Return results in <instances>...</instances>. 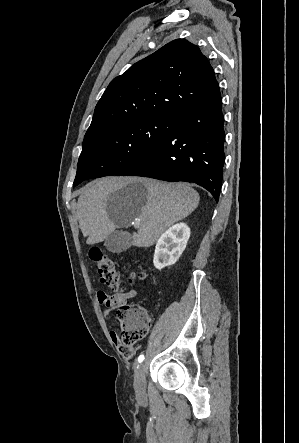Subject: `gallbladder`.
<instances>
[{
    "label": "gallbladder",
    "instance_id": "1",
    "mask_svg": "<svg viewBox=\"0 0 299 443\" xmlns=\"http://www.w3.org/2000/svg\"><path fill=\"white\" fill-rule=\"evenodd\" d=\"M104 246L112 253L126 251L131 246V235L124 231H114L105 239Z\"/></svg>",
    "mask_w": 299,
    "mask_h": 443
}]
</instances>
